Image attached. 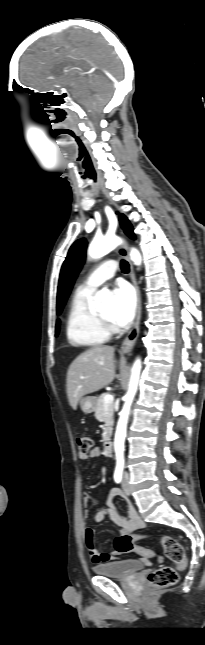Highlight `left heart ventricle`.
Masks as SVG:
<instances>
[{
    "mask_svg": "<svg viewBox=\"0 0 205 645\" xmlns=\"http://www.w3.org/2000/svg\"><path fill=\"white\" fill-rule=\"evenodd\" d=\"M100 314L103 315L104 317L112 320L113 319V308L108 307L105 310H103Z\"/></svg>",
    "mask_w": 205,
    "mask_h": 645,
    "instance_id": "1",
    "label": "left heart ventricle"
}]
</instances>
